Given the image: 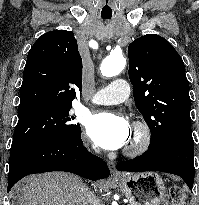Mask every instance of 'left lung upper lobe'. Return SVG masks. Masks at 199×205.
<instances>
[{"mask_svg":"<svg viewBox=\"0 0 199 205\" xmlns=\"http://www.w3.org/2000/svg\"><path fill=\"white\" fill-rule=\"evenodd\" d=\"M134 101L151 131V147L191 134L189 82L182 58L163 37L147 34L128 47Z\"/></svg>","mask_w":199,"mask_h":205,"instance_id":"left-lung-upper-lobe-1","label":"left lung upper lobe"}]
</instances>
